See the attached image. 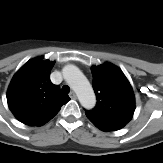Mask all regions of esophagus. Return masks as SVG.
Masks as SVG:
<instances>
[{"label": "esophagus", "instance_id": "obj_1", "mask_svg": "<svg viewBox=\"0 0 163 163\" xmlns=\"http://www.w3.org/2000/svg\"><path fill=\"white\" fill-rule=\"evenodd\" d=\"M69 97H70L71 99H76V98H77V96H76V94H75L74 91H72V92L69 93Z\"/></svg>", "mask_w": 163, "mask_h": 163}]
</instances>
